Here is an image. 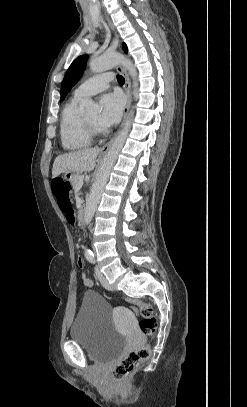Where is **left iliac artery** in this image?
<instances>
[{
    "instance_id": "1",
    "label": "left iliac artery",
    "mask_w": 247,
    "mask_h": 407,
    "mask_svg": "<svg viewBox=\"0 0 247 407\" xmlns=\"http://www.w3.org/2000/svg\"><path fill=\"white\" fill-rule=\"evenodd\" d=\"M87 259L89 260V262H91V263H95V257H94V255H89V256H87Z\"/></svg>"
}]
</instances>
